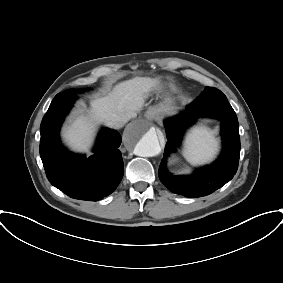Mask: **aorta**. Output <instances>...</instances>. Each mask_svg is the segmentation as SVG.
Here are the masks:
<instances>
[{"label": "aorta", "instance_id": "1", "mask_svg": "<svg viewBox=\"0 0 283 283\" xmlns=\"http://www.w3.org/2000/svg\"><path fill=\"white\" fill-rule=\"evenodd\" d=\"M123 141L141 157H154L161 152L157 130L149 122L137 121L130 124L123 135Z\"/></svg>", "mask_w": 283, "mask_h": 283}]
</instances>
